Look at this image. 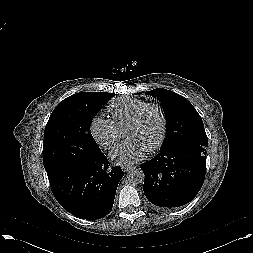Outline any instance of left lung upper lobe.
Returning <instances> with one entry per match:
<instances>
[{
	"mask_svg": "<svg viewBox=\"0 0 253 253\" xmlns=\"http://www.w3.org/2000/svg\"><path fill=\"white\" fill-rule=\"evenodd\" d=\"M146 93L161 102L165 113L166 139L161 149H167L182 143H196L208 146L203 121L196 109L185 97L161 88Z\"/></svg>",
	"mask_w": 253,
	"mask_h": 253,
	"instance_id": "1",
	"label": "left lung upper lobe"
}]
</instances>
